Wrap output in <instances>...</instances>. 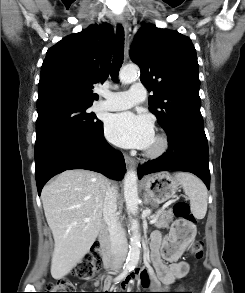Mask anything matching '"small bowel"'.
I'll list each match as a JSON object with an SVG mask.
<instances>
[{
	"label": "small bowel",
	"instance_id": "obj_1",
	"mask_svg": "<svg viewBox=\"0 0 245 293\" xmlns=\"http://www.w3.org/2000/svg\"><path fill=\"white\" fill-rule=\"evenodd\" d=\"M182 248V245L175 243L171 235L162 236L158 232H153L150 237L151 264L137 272L142 287L150 286L149 279L153 271L157 272L164 289H168L176 280L184 277L189 271V265L185 261H178ZM164 260L170 264L164 263ZM133 278L134 274L128 275L122 283L123 288L129 287ZM111 286L112 280L108 277L103 288L108 290Z\"/></svg>",
	"mask_w": 245,
	"mask_h": 293
}]
</instances>
